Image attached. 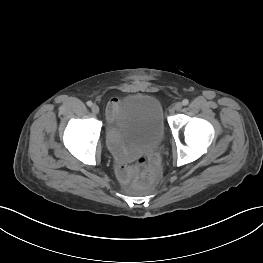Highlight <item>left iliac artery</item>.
Segmentation results:
<instances>
[{"instance_id":"1","label":"left iliac artery","mask_w":263,"mask_h":263,"mask_svg":"<svg viewBox=\"0 0 263 263\" xmlns=\"http://www.w3.org/2000/svg\"><path fill=\"white\" fill-rule=\"evenodd\" d=\"M182 104H183L184 106L188 105V104H189L188 99H184V100L182 101Z\"/></svg>"}]
</instances>
